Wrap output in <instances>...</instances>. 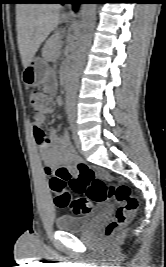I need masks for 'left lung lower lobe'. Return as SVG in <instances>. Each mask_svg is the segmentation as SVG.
Returning a JSON list of instances; mask_svg holds the SVG:
<instances>
[{
  "label": "left lung lower lobe",
  "mask_w": 166,
  "mask_h": 267,
  "mask_svg": "<svg viewBox=\"0 0 166 267\" xmlns=\"http://www.w3.org/2000/svg\"><path fill=\"white\" fill-rule=\"evenodd\" d=\"M51 3H61V4H64V3H73L74 4V8L76 9L77 8V5L79 3H83V2H66L65 0H53Z\"/></svg>",
  "instance_id": "1"
}]
</instances>
